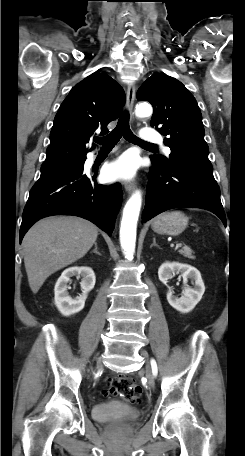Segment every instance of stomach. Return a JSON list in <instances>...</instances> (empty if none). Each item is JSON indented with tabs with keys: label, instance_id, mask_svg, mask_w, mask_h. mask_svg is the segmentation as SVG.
<instances>
[{
	"label": "stomach",
	"instance_id": "stomach-1",
	"mask_svg": "<svg viewBox=\"0 0 245 456\" xmlns=\"http://www.w3.org/2000/svg\"><path fill=\"white\" fill-rule=\"evenodd\" d=\"M188 225V217L181 211H171L158 215L152 222V229L158 234L176 236Z\"/></svg>",
	"mask_w": 245,
	"mask_h": 456
}]
</instances>
